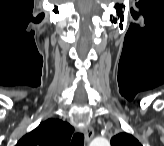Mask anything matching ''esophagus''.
<instances>
[{
	"mask_svg": "<svg viewBox=\"0 0 164 146\" xmlns=\"http://www.w3.org/2000/svg\"><path fill=\"white\" fill-rule=\"evenodd\" d=\"M83 132L85 134V140L86 142H90L91 139L93 138L94 136V129L91 127V126H86L84 129H83Z\"/></svg>",
	"mask_w": 164,
	"mask_h": 146,
	"instance_id": "1",
	"label": "esophagus"
}]
</instances>
